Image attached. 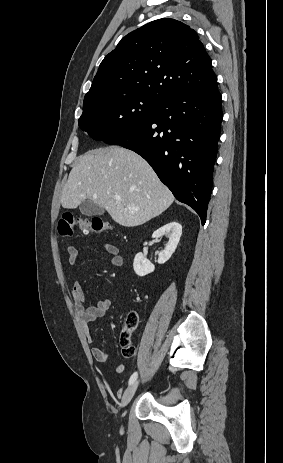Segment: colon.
Here are the masks:
<instances>
[{
  "mask_svg": "<svg viewBox=\"0 0 283 463\" xmlns=\"http://www.w3.org/2000/svg\"><path fill=\"white\" fill-rule=\"evenodd\" d=\"M75 228L83 233H103L109 232L111 225L97 216L77 218L72 215H63L58 220V232L61 236L73 235ZM137 321L136 313H130L123 325L121 351L125 358H131L135 355V347L131 343L130 334L135 330Z\"/></svg>",
  "mask_w": 283,
  "mask_h": 463,
  "instance_id": "5ec220e1",
  "label": "colon"
}]
</instances>
